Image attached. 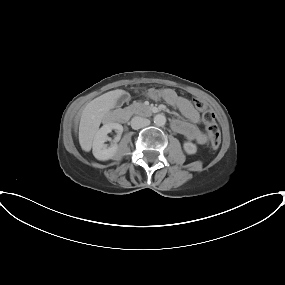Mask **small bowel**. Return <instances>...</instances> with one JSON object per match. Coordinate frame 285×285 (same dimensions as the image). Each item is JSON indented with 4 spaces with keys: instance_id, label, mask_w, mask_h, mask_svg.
Returning a JSON list of instances; mask_svg holds the SVG:
<instances>
[{
    "instance_id": "c3829d8e",
    "label": "small bowel",
    "mask_w": 285,
    "mask_h": 285,
    "mask_svg": "<svg viewBox=\"0 0 285 285\" xmlns=\"http://www.w3.org/2000/svg\"><path fill=\"white\" fill-rule=\"evenodd\" d=\"M148 96L154 100L164 99L167 103L176 107L186 118V121L181 119L173 120L172 129L175 132L200 145L207 144L208 135L198 127L200 115L188 99L178 95L174 90L169 88L161 90L151 89L148 92Z\"/></svg>"
}]
</instances>
